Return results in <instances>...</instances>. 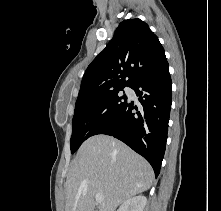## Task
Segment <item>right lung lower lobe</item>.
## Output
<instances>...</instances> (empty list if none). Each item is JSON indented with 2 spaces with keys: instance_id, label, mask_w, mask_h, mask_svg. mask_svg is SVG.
Returning <instances> with one entry per match:
<instances>
[{
  "instance_id": "98d812e1",
  "label": "right lung lower lobe",
  "mask_w": 221,
  "mask_h": 211,
  "mask_svg": "<svg viewBox=\"0 0 221 211\" xmlns=\"http://www.w3.org/2000/svg\"><path fill=\"white\" fill-rule=\"evenodd\" d=\"M139 97L142 108L127 102L114 119L97 134L113 136L142 155L160 173L172 102V82L168 65L137 79L130 86Z\"/></svg>"
}]
</instances>
